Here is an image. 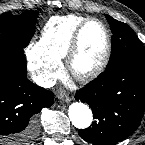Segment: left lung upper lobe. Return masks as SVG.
I'll return each mask as SVG.
<instances>
[{
  "instance_id": "obj_1",
  "label": "left lung upper lobe",
  "mask_w": 145,
  "mask_h": 145,
  "mask_svg": "<svg viewBox=\"0 0 145 145\" xmlns=\"http://www.w3.org/2000/svg\"><path fill=\"white\" fill-rule=\"evenodd\" d=\"M113 32L112 54L107 69L132 64L145 68V49L134 31L125 23L106 15Z\"/></svg>"
}]
</instances>
